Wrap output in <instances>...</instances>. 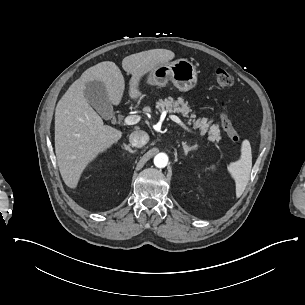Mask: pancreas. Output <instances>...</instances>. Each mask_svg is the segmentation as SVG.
Here are the masks:
<instances>
[{
  "instance_id": "pancreas-1",
  "label": "pancreas",
  "mask_w": 305,
  "mask_h": 305,
  "mask_svg": "<svg viewBox=\"0 0 305 305\" xmlns=\"http://www.w3.org/2000/svg\"><path fill=\"white\" fill-rule=\"evenodd\" d=\"M156 108L159 112L167 111L169 113H180L183 117H189V113L192 111L184 99L179 97L174 100L172 97L166 99H159L156 102ZM189 124L193 122V129L199 128L201 134L204 135L208 133V140L212 142H219L221 140L220 129L218 124H212L213 120H208L207 118H199L195 120L196 115H190Z\"/></svg>"
}]
</instances>
